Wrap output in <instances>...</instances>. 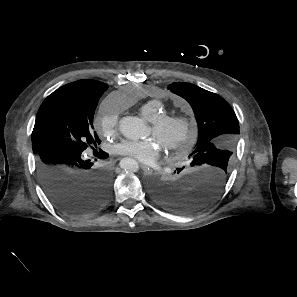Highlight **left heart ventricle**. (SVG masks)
I'll use <instances>...</instances> for the list:
<instances>
[{
    "label": "left heart ventricle",
    "mask_w": 297,
    "mask_h": 297,
    "mask_svg": "<svg viewBox=\"0 0 297 297\" xmlns=\"http://www.w3.org/2000/svg\"><path fill=\"white\" fill-rule=\"evenodd\" d=\"M177 133H178V130L177 129H174V130H172L170 132V135L174 136ZM149 135L155 137L163 145L164 136L155 134L154 131H153V128H152L151 124H150V127H149Z\"/></svg>",
    "instance_id": "b2bd125f"
}]
</instances>
